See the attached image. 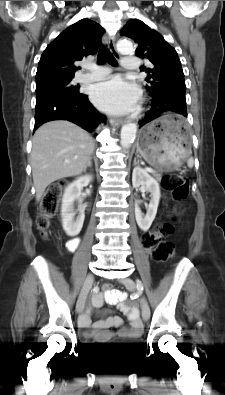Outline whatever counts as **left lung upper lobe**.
Here are the masks:
<instances>
[{"label": "left lung upper lobe", "instance_id": "5c2ea615", "mask_svg": "<svg viewBox=\"0 0 225 395\" xmlns=\"http://www.w3.org/2000/svg\"><path fill=\"white\" fill-rule=\"evenodd\" d=\"M121 35L138 43L136 56L152 63L151 68L142 66V71L148 73L145 81L150 84L147 87L151 96H185L186 85L180 59L161 34L134 19L126 23Z\"/></svg>", "mask_w": 225, "mask_h": 395}]
</instances>
